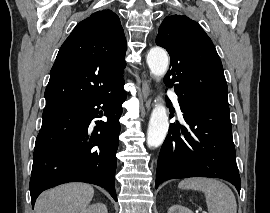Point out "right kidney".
Here are the masks:
<instances>
[{"label": "right kidney", "mask_w": 270, "mask_h": 213, "mask_svg": "<svg viewBox=\"0 0 270 213\" xmlns=\"http://www.w3.org/2000/svg\"><path fill=\"white\" fill-rule=\"evenodd\" d=\"M79 213H108L107 208L102 203H95L83 209Z\"/></svg>", "instance_id": "ca27d5eb"}]
</instances>
